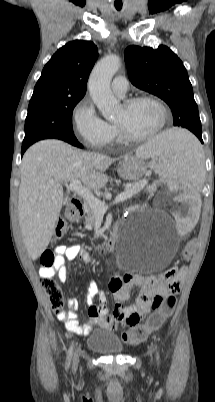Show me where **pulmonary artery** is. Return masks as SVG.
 I'll use <instances>...</instances> for the list:
<instances>
[{
	"label": "pulmonary artery",
	"mask_w": 215,
	"mask_h": 402,
	"mask_svg": "<svg viewBox=\"0 0 215 402\" xmlns=\"http://www.w3.org/2000/svg\"><path fill=\"white\" fill-rule=\"evenodd\" d=\"M111 87L117 96L124 97L128 89V81L124 76H117L113 79Z\"/></svg>",
	"instance_id": "e3ab8cb5"
}]
</instances>
